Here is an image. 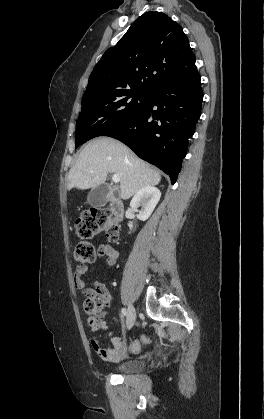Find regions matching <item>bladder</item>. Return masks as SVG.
<instances>
[{"mask_svg": "<svg viewBox=\"0 0 264 419\" xmlns=\"http://www.w3.org/2000/svg\"><path fill=\"white\" fill-rule=\"evenodd\" d=\"M144 369V363L140 360L132 359L119 364L115 371L119 374H132Z\"/></svg>", "mask_w": 264, "mask_h": 419, "instance_id": "1", "label": "bladder"}]
</instances>
